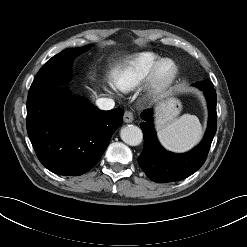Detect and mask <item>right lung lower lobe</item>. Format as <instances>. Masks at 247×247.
Returning a JSON list of instances; mask_svg holds the SVG:
<instances>
[{
	"label": "right lung lower lobe",
	"instance_id": "98d812e1",
	"mask_svg": "<svg viewBox=\"0 0 247 247\" xmlns=\"http://www.w3.org/2000/svg\"><path fill=\"white\" fill-rule=\"evenodd\" d=\"M63 103L65 111L55 112ZM124 110H99L85 98H75L59 85L30 87L27 132L39 161L51 172L79 176L100 160Z\"/></svg>",
	"mask_w": 247,
	"mask_h": 247
}]
</instances>
